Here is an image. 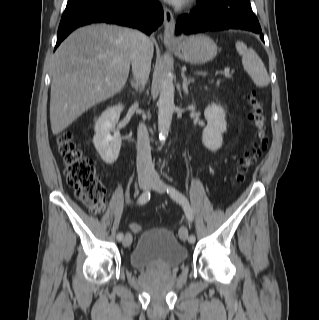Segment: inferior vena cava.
Listing matches in <instances>:
<instances>
[{
	"mask_svg": "<svg viewBox=\"0 0 319 320\" xmlns=\"http://www.w3.org/2000/svg\"><path fill=\"white\" fill-rule=\"evenodd\" d=\"M131 64L132 72L138 84L144 88L147 83L152 55L150 53V40L140 31L133 30ZM137 172L139 176L154 174V165L151 158V147L148 131L144 124H140L137 132Z\"/></svg>",
	"mask_w": 319,
	"mask_h": 320,
	"instance_id": "602c4592",
	"label": "inferior vena cava"
}]
</instances>
